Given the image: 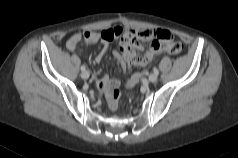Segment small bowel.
I'll return each mask as SVG.
<instances>
[{
    "label": "small bowel",
    "instance_id": "small-bowel-1",
    "mask_svg": "<svg viewBox=\"0 0 238 158\" xmlns=\"http://www.w3.org/2000/svg\"><path fill=\"white\" fill-rule=\"evenodd\" d=\"M110 31L113 39L121 38V45L118 50L113 52L114 57L119 61L122 68L126 65L145 66L153 60L157 55H160L163 49V43L172 38L169 31L163 29H131L115 27L113 29L104 30ZM102 31V32H104ZM101 33L86 31L83 33L74 34L67 42V47L71 51H75L79 45H89L101 42V49L95 56V61L100 62L105 56L109 39L103 37ZM152 40L151 45L147 50H143L142 41ZM140 79V74H134L128 84L134 86ZM113 81L119 82L117 79H111L108 75L96 78V84L99 91L106 93Z\"/></svg>",
    "mask_w": 238,
    "mask_h": 158
}]
</instances>
